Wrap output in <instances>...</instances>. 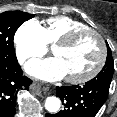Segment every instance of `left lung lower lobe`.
<instances>
[{"label":"left lung lower lobe","instance_id":"0a47b994","mask_svg":"<svg viewBox=\"0 0 117 117\" xmlns=\"http://www.w3.org/2000/svg\"><path fill=\"white\" fill-rule=\"evenodd\" d=\"M64 109L46 117H95L108 97L109 89L91 81L84 85L56 87Z\"/></svg>","mask_w":117,"mask_h":117}]
</instances>
